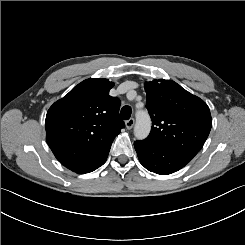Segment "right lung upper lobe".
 <instances>
[{
  "instance_id": "right-lung-upper-lobe-1",
  "label": "right lung upper lobe",
  "mask_w": 245,
  "mask_h": 245,
  "mask_svg": "<svg viewBox=\"0 0 245 245\" xmlns=\"http://www.w3.org/2000/svg\"><path fill=\"white\" fill-rule=\"evenodd\" d=\"M108 79L90 78L55 102L46 115V140L58 161L78 174L94 171L107 159L125 127L120 100L109 95Z\"/></svg>"
}]
</instances>
